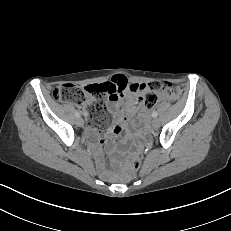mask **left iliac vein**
Here are the masks:
<instances>
[{
	"label": "left iliac vein",
	"mask_w": 231,
	"mask_h": 231,
	"mask_svg": "<svg viewBox=\"0 0 231 231\" xmlns=\"http://www.w3.org/2000/svg\"><path fill=\"white\" fill-rule=\"evenodd\" d=\"M151 125H152L153 128L157 129L160 126V121L155 118V119L152 120Z\"/></svg>",
	"instance_id": "obj_1"
}]
</instances>
